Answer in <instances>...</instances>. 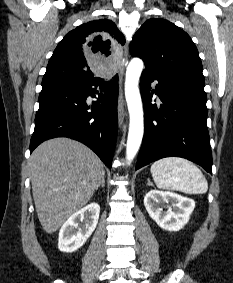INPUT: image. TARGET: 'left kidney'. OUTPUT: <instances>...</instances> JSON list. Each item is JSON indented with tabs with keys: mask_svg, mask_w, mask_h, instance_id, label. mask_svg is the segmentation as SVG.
Returning <instances> with one entry per match:
<instances>
[{
	"mask_svg": "<svg viewBox=\"0 0 233 283\" xmlns=\"http://www.w3.org/2000/svg\"><path fill=\"white\" fill-rule=\"evenodd\" d=\"M162 203L168 205L167 211H163ZM144 205L150 217L167 231L182 229L195 208V202L190 198L158 190H151L146 194Z\"/></svg>",
	"mask_w": 233,
	"mask_h": 283,
	"instance_id": "left-kidney-1",
	"label": "left kidney"
}]
</instances>
